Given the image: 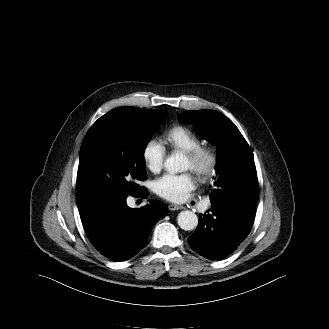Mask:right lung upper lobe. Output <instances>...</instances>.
I'll return each instance as SVG.
<instances>
[{
	"label": "right lung upper lobe",
	"mask_w": 329,
	"mask_h": 329,
	"mask_svg": "<svg viewBox=\"0 0 329 329\" xmlns=\"http://www.w3.org/2000/svg\"><path fill=\"white\" fill-rule=\"evenodd\" d=\"M146 112H149V110H145ZM90 132H91V129H89L88 130V132H87V134H86V136H85V138L84 139H86L87 138V136L90 134ZM84 141V140H83Z\"/></svg>",
	"instance_id": "cb5924a9"
}]
</instances>
